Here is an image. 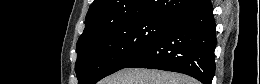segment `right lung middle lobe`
I'll return each mask as SVG.
<instances>
[{
    "mask_svg": "<svg viewBox=\"0 0 260 84\" xmlns=\"http://www.w3.org/2000/svg\"><path fill=\"white\" fill-rule=\"evenodd\" d=\"M172 19L146 16L120 22L77 46L75 70L79 84H94L127 67L162 34Z\"/></svg>",
    "mask_w": 260,
    "mask_h": 84,
    "instance_id": "right-lung-middle-lobe-1",
    "label": "right lung middle lobe"
}]
</instances>
